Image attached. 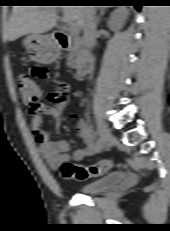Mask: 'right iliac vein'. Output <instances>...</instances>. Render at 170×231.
<instances>
[{
    "label": "right iliac vein",
    "instance_id": "63e3f726",
    "mask_svg": "<svg viewBox=\"0 0 170 231\" xmlns=\"http://www.w3.org/2000/svg\"><path fill=\"white\" fill-rule=\"evenodd\" d=\"M97 127H98V134H99L101 146L105 147L107 146L111 137L110 130L108 126L105 123H103L101 120H97Z\"/></svg>",
    "mask_w": 170,
    "mask_h": 231
}]
</instances>
